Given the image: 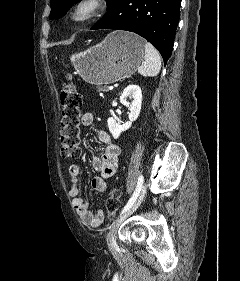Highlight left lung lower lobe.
<instances>
[{
    "instance_id": "left-lung-lower-lobe-1",
    "label": "left lung lower lobe",
    "mask_w": 240,
    "mask_h": 281,
    "mask_svg": "<svg viewBox=\"0 0 240 281\" xmlns=\"http://www.w3.org/2000/svg\"><path fill=\"white\" fill-rule=\"evenodd\" d=\"M181 0H114L91 29L135 32L152 43L165 63L171 56Z\"/></svg>"
}]
</instances>
